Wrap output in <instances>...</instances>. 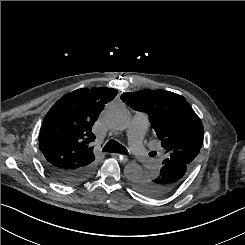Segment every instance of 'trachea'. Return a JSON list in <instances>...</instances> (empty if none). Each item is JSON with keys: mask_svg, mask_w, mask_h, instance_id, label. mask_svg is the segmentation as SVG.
I'll return each mask as SVG.
<instances>
[{"mask_svg": "<svg viewBox=\"0 0 245 245\" xmlns=\"http://www.w3.org/2000/svg\"><path fill=\"white\" fill-rule=\"evenodd\" d=\"M103 151L105 152H116L120 154H128L127 149L121 145L119 142L115 140H109L106 145L103 147Z\"/></svg>", "mask_w": 245, "mask_h": 245, "instance_id": "1", "label": "trachea"}]
</instances>
